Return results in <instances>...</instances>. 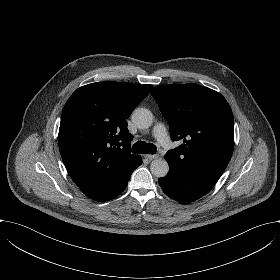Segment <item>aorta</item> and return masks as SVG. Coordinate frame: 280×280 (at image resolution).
<instances>
[{"instance_id":"1","label":"aorta","mask_w":280,"mask_h":280,"mask_svg":"<svg viewBox=\"0 0 280 280\" xmlns=\"http://www.w3.org/2000/svg\"><path fill=\"white\" fill-rule=\"evenodd\" d=\"M132 121L140 129H147L153 123L152 112L145 108L135 109L132 113ZM151 173L158 178L165 177L169 172V165L166 160L159 158L152 161Z\"/></svg>"}]
</instances>
